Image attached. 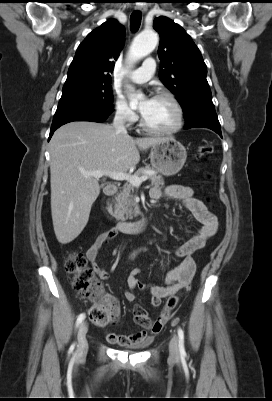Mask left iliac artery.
Returning a JSON list of instances; mask_svg holds the SVG:
<instances>
[{"mask_svg": "<svg viewBox=\"0 0 272 401\" xmlns=\"http://www.w3.org/2000/svg\"><path fill=\"white\" fill-rule=\"evenodd\" d=\"M178 336H179V350L181 354H185L184 348V331L181 328H178Z\"/></svg>", "mask_w": 272, "mask_h": 401, "instance_id": "obj_1", "label": "left iliac artery"}]
</instances>
